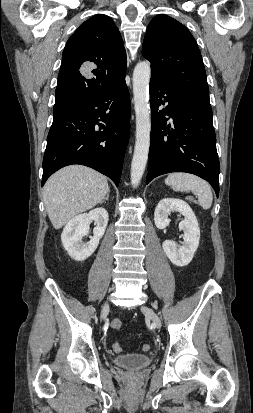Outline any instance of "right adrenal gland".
<instances>
[{
  "label": "right adrenal gland",
  "instance_id": "2a0ac1e0",
  "mask_svg": "<svg viewBox=\"0 0 253 413\" xmlns=\"http://www.w3.org/2000/svg\"><path fill=\"white\" fill-rule=\"evenodd\" d=\"M109 193H110V191L107 193L106 197L100 202V204H102V203L105 202V201H108V199H109Z\"/></svg>",
  "mask_w": 253,
  "mask_h": 413
}]
</instances>
